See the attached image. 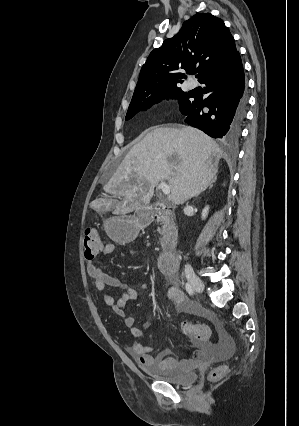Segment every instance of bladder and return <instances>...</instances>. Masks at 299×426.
<instances>
[{
  "label": "bladder",
  "instance_id": "obj_1",
  "mask_svg": "<svg viewBox=\"0 0 299 426\" xmlns=\"http://www.w3.org/2000/svg\"><path fill=\"white\" fill-rule=\"evenodd\" d=\"M142 370L158 380L175 385H189L197 379V373L194 370L159 369L151 366H142Z\"/></svg>",
  "mask_w": 299,
  "mask_h": 426
}]
</instances>
